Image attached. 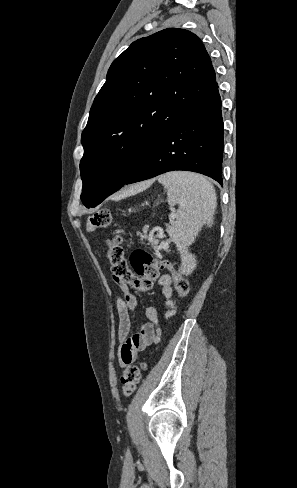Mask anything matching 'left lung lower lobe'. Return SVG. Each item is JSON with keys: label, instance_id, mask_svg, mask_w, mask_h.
Here are the masks:
<instances>
[{"label": "left lung lower lobe", "instance_id": "left-lung-lower-lobe-1", "mask_svg": "<svg viewBox=\"0 0 297 488\" xmlns=\"http://www.w3.org/2000/svg\"><path fill=\"white\" fill-rule=\"evenodd\" d=\"M222 157L223 119L217 88L166 134L126 184L186 170L209 176L222 185Z\"/></svg>", "mask_w": 297, "mask_h": 488}]
</instances>
